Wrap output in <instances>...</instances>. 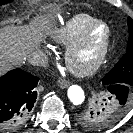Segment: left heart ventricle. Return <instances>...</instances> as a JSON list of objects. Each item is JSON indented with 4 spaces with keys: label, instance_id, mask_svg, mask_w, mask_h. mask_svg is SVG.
<instances>
[{
    "label": "left heart ventricle",
    "instance_id": "1",
    "mask_svg": "<svg viewBox=\"0 0 133 133\" xmlns=\"http://www.w3.org/2000/svg\"><path fill=\"white\" fill-rule=\"evenodd\" d=\"M105 35V28L102 25L95 26L88 35L84 46L79 50L75 57L79 65H87L98 53Z\"/></svg>",
    "mask_w": 133,
    "mask_h": 133
}]
</instances>
